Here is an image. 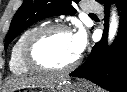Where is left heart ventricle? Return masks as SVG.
Returning a JSON list of instances; mask_svg holds the SVG:
<instances>
[{"label":"left heart ventricle","mask_w":127,"mask_h":92,"mask_svg":"<svg viewBox=\"0 0 127 92\" xmlns=\"http://www.w3.org/2000/svg\"><path fill=\"white\" fill-rule=\"evenodd\" d=\"M35 54L42 64L54 68L66 66L78 56L72 34L61 31L42 38L35 48Z\"/></svg>","instance_id":"obj_1"}]
</instances>
